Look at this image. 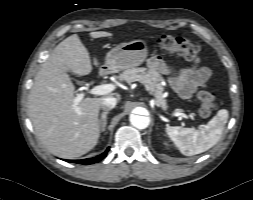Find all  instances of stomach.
<instances>
[{
    "mask_svg": "<svg viewBox=\"0 0 253 200\" xmlns=\"http://www.w3.org/2000/svg\"><path fill=\"white\" fill-rule=\"evenodd\" d=\"M147 51V44L144 40L123 43L107 53L104 66L110 72L139 66L145 61Z\"/></svg>",
    "mask_w": 253,
    "mask_h": 200,
    "instance_id": "0dacf381",
    "label": "stomach"
}]
</instances>
